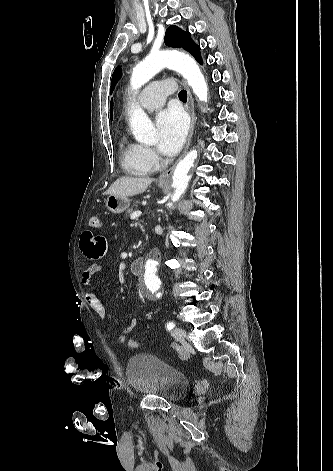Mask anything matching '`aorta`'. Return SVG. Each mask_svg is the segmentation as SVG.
<instances>
[{
  "label": "aorta",
  "instance_id": "762f6f07",
  "mask_svg": "<svg viewBox=\"0 0 333 471\" xmlns=\"http://www.w3.org/2000/svg\"><path fill=\"white\" fill-rule=\"evenodd\" d=\"M164 67L171 68L180 73L192 88L199 101L207 102L208 86L199 66L195 60L189 56L172 53L170 51H160L150 54L144 61L140 62L133 69L130 85L132 90L137 91L153 76ZM130 128L134 138L141 143L151 144L156 141L157 134L155 128L139 107H133L130 113ZM197 158V151L191 150L176 166L173 174L172 202L180 199L190 180L189 171ZM170 207L172 203L168 204ZM159 262L154 255H149L143 270V283L145 292L152 296L159 293L161 282L157 276Z\"/></svg>",
  "mask_w": 333,
  "mask_h": 471
}]
</instances>
